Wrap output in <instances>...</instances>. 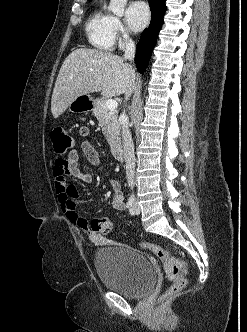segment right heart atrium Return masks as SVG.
Here are the masks:
<instances>
[{"label":"right heart atrium","mask_w":247,"mask_h":332,"mask_svg":"<svg viewBox=\"0 0 247 332\" xmlns=\"http://www.w3.org/2000/svg\"><path fill=\"white\" fill-rule=\"evenodd\" d=\"M114 31L115 34L120 38L121 41H124L127 39V31L124 28L122 22L118 18H114Z\"/></svg>","instance_id":"obj_1"}]
</instances>
